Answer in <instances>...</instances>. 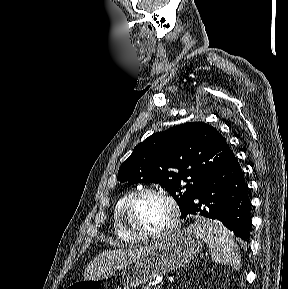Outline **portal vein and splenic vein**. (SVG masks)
Wrapping results in <instances>:
<instances>
[{"label":"portal vein and splenic vein","instance_id":"obj_1","mask_svg":"<svg viewBox=\"0 0 288 289\" xmlns=\"http://www.w3.org/2000/svg\"><path fill=\"white\" fill-rule=\"evenodd\" d=\"M154 289H160V286H155Z\"/></svg>","mask_w":288,"mask_h":289}]
</instances>
